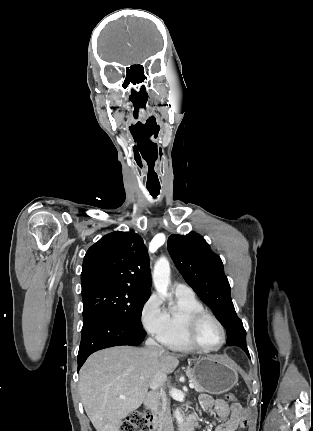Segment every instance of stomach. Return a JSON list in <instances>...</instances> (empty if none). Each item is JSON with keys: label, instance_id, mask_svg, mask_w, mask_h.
Instances as JSON below:
<instances>
[{"label": "stomach", "instance_id": "1", "mask_svg": "<svg viewBox=\"0 0 313 431\" xmlns=\"http://www.w3.org/2000/svg\"><path fill=\"white\" fill-rule=\"evenodd\" d=\"M191 375L205 392L222 394L238 383V373L234 366L219 356H205L192 360Z\"/></svg>", "mask_w": 313, "mask_h": 431}]
</instances>
